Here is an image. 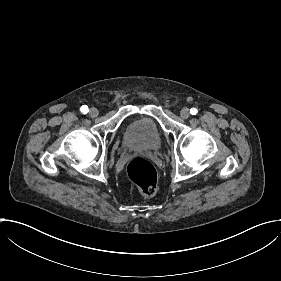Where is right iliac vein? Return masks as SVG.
Returning <instances> with one entry per match:
<instances>
[{"instance_id": "1", "label": "right iliac vein", "mask_w": 281, "mask_h": 281, "mask_svg": "<svg viewBox=\"0 0 281 281\" xmlns=\"http://www.w3.org/2000/svg\"><path fill=\"white\" fill-rule=\"evenodd\" d=\"M89 115H90L91 117H96V116L98 115V110H97L96 108H91V109L89 110Z\"/></svg>"}]
</instances>
